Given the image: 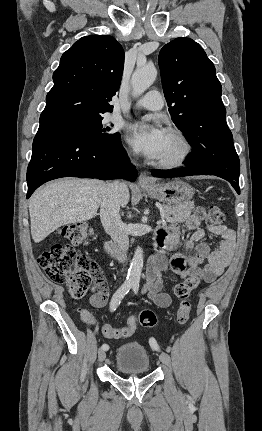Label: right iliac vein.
I'll list each match as a JSON object with an SVG mask.
<instances>
[{"label":"right iliac vein","instance_id":"63e3f726","mask_svg":"<svg viewBox=\"0 0 262 431\" xmlns=\"http://www.w3.org/2000/svg\"><path fill=\"white\" fill-rule=\"evenodd\" d=\"M106 358V352L103 349H100L98 352V359L99 361H104Z\"/></svg>","mask_w":262,"mask_h":431}]
</instances>
